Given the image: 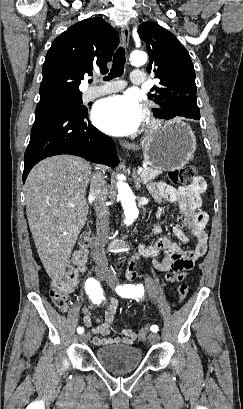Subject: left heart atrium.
<instances>
[{"label": "left heart atrium", "instance_id": "left-heart-atrium-1", "mask_svg": "<svg viewBox=\"0 0 243 409\" xmlns=\"http://www.w3.org/2000/svg\"><path fill=\"white\" fill-rule=\"evenodd\" d=\"M92 118L95 125L105 133L124 136L138 130L145 112L135 95H117L99 101Z\"/></svg>", "mask_w": 243, "mask_h": 409}]
</instances>
